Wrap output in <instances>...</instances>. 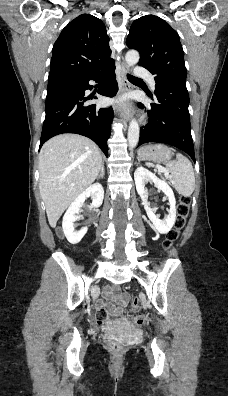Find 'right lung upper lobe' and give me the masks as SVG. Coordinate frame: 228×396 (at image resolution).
Instances as JSON below:
<instances>
[{
	"mask_svg": "<svg viewBox=\"0 0 228 396\" xmlns=\"http://www.w3.org/2000/svg\"><path fill=\"white\" fill-rule=\"evenodd\" d=\"M104 23L82 14L72 20L56 40L48 83L70 78H86L113 63Z\"/></svg>",
	"mask_w": 228,
	"mask_h": 396,
	"instance_id": "obj_1",
	"label": "right lung upper lobe"
}]
</instances>
